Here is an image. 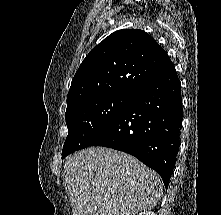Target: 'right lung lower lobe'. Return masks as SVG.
Instances as JSON below:
<instances>
[{"mask_svg": "<svg viewBox=\"0 0 221 215\" xmlns=\"http://www.w3.org/2000/svg\"><path fill=\"white\" fill-rule=\"evenodd\" d=\"M182 123L181 83L174 65L160 78L131 95L113 124L90 146L135 156L162 177L173 172Z\"/></svg>", "mask_w": 221, "mask_h": 215, "instance_id": "obj_1", "label": "right lung lower lobe"}]
</instances>
